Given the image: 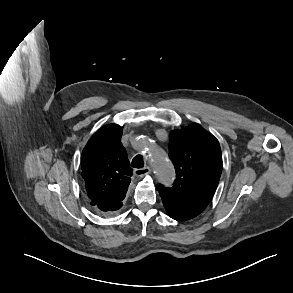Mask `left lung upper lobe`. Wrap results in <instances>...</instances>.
Returning <instances> with one entry per match:
<instances>
[{"instance_id": "5c2ea615", "label": "left lung upper lobe", "mask_w": 293, "mask_h": 293, "mask_svg": "<svg viewBox=\"0 0 293 293\" xmlns=\"http://www.w3.org/2000/svg\"><path fill=\"white\" fill-rule=\"evenodd\" d=\"M169 157L176 169L173 187L157 186L160 194L200 214L211 201L222 171L218 140L199 124L170 133Z\"/></svg>"}]
</instances>
